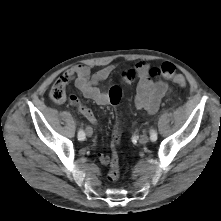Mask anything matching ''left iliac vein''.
Instances as JSON below:
<instances>
[{
  "label": "left iliac vein",
  "instance_id": "4c4485c4",
  "mask_svg": "<svg viewBox=\"0 0 221 221\" xmlns=\"http://www.w3.org/2000/svg\"><path fill=\"white\" fill-rule=\"evenodd\" d=\"M149 141V137L147 135H141L140 139H139V142L141 144H146L147 142Z\"/></svg>",
  "mask_w": 221,
  "mask_h": 221
}]
</instances>
